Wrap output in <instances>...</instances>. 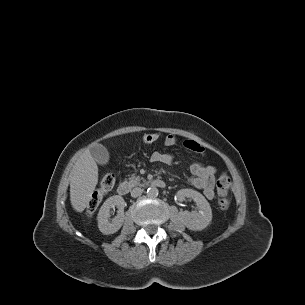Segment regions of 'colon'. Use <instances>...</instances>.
<instances>
[{
  "label": "colon",
  "mask_w": 305,
  "mask_h": 305,
  "mask_svg": "<svg viewBox=\"0 0 305 305\" xmlns=\"http://www.w3.org/2000/svg\"><path fill=\"white\" fill-rule=\"evenodd\" d=\"M159 138L158 133L145 134L142 138L144 144H152ZM186 146L190 149L196 150L197 146L187 141ZM116 182V175L113 172H109L101 180L99 188L92 194L87 207V214H93L99 205L101 204L104 196L113 188ZM231 186L230 177L226 174H222L217 180V204L220 209H227L230 205L229 189Z\"/></svg>",
  "instance_id": "colon-1"
}]
</instances>
